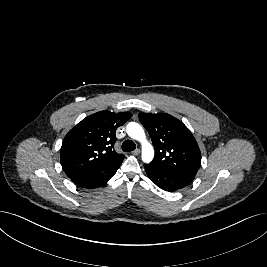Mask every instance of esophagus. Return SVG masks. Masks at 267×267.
Here are the masks:
<instances>
[{
    "instance_id": "1",
    "label": "esophagus",
    "mask_w": 267,
    "mask_h": 267,
    "mask_svg": "<svg viewBox=\"0 0 267 267\" xmlns=\"http://www.w3.org/2000/svg\"><path fill=\"white\" fill-rule=\"evenodd\" d=\"M133 155H139L140 154V149H135L134 151H132Z\"/></svg>"
}]
</instances>
